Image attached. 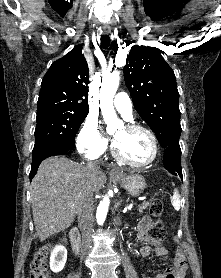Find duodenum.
<instances>
[{"label":"duodenum","instance_id":"1","mask_svg":"<svg viewBox=\"0 0 221 278\" xmlns=\"http://www.w3.org/2000/svg\"><path fill=\"white\" fill-rule=\"evenodd\" d=\"M80 232L77 228H74L70 232V241L72 245V250L75 254L80 252Z\"/></svg>","mask_w":221,"mask_h":278}]
</instances>
